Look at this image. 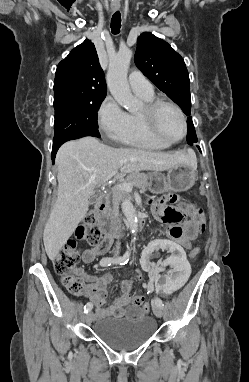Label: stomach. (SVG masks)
<instances>
[{
    "instance_id": "1",
    "label": "stomach",
    "mask_w": 249,
    "mask_h": 382,
    "mask_svg": "<svg viewBox=\"0 0 249 382\" xmlns=\"http://www.w3.org/2000/svg\"><path fill=\"white\" fill-rule=\"evenodd\" d=\"M196 181V168L191 164H180L168 170L166 176L153 173L150 177V191L161 194L168 190L181 192L190 189Z\"/></svg>"
}]
</instances>
